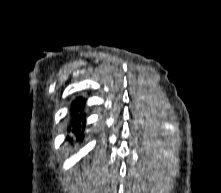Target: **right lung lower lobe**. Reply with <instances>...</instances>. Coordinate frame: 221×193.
<instances>
[{
	"label": "right lung lower lobe",
	"instance_id": "98d812e1",
	"mask_svg": "<svg viewBox=\"0 0 221 193\" xmlns=\"http://www.w3.org/2000/svg\"><path fill=\"white\" fill-rule=\"evenodd\" d=\"M72 110H71V124L68 127V131H72V133L75 134V136L82 140L83 139V131L85 129V123H86V115L83 113L84 109V100L83 98L76 99L72 104Z\"/></svg>",
	"mask_w": 221,
	"mask_h": 193
}]
</instances>
